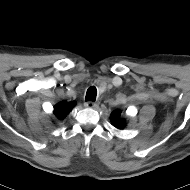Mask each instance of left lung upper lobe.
<instances>
[{
	"label": "left lung upper lobe",
	"mask_w": 190,
	"mask_h": 190,
	"mask_svg": "<svg viewBox=\"0 0 190 190\" xmlns=\"http://www.w3.org/2000/svg\"><path fill=\"white\" fill-rule=\"evenodd\" d=\"M110 119H111L112 124L116 128L122 129L125 127V120L121 118V111L117 110V111L112 112Z\"/></svg>",
	"instance_id": "5c2ea615"
}]
</instances>
